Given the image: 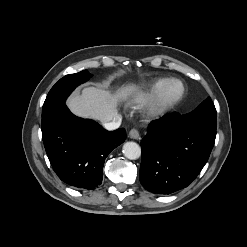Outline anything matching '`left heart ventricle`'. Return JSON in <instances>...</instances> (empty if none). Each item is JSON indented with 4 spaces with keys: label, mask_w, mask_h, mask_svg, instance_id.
I'll return each instance as SVG.
<instances>
[{
    "label": "left heart ventricle",
    "mask_w": 247,
    "mask_h": 247,
    "mask_svg": "<svg viewBox=\"0 0 247 247\" xmlns=\"http://www.w3.org/2000/svg\"><path fill=\"white\" fill-rule=\"evenodd\" d=\"M179 91V85L178 84H172L168 89V97L175 96Z\"/></svg>",
    "instance_id": "obj_1"
}]
</instances>
